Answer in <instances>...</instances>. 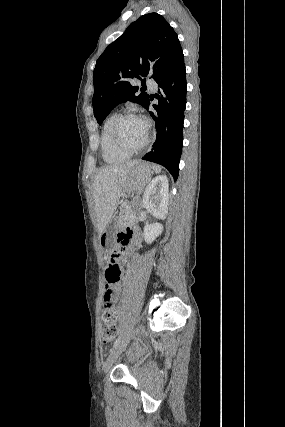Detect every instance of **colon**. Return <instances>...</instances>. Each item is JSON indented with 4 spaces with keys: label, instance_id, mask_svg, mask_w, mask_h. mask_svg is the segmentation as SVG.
<instances>
[{
    "label": "colon",
    "instance_id": "1",
    "mask_svg": "<svg viewBox=\"0 0 285 427\" xmlns=\"http://www.w3.org/2000/svg\"><path fill=\"white\" fill-rule=\"evenodd\" d=\"M119 253L114 251L108 258V265L105 268L106 294L109 296L112 293V288L117 286L121 280V269L116 261ZM103 325L101 328V340L104 343L112 341L116 335V320L118 312L114 304L110 300H106L103 304Z\"/></svg>",
    "mask_w": 285,
    "mask_h": 427
}]
</instances>
